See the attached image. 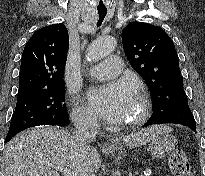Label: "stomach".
<instances>
[{
    "mask_svg": "<svg viewBox=\"0 0 205 176\" xmlns=\"http://www.w3.org/2000/svg\"><path fill=\"white\" fill-rule=\"evenodd\" d=\"M165 126H160L155 134L148 142L151 153L155 158H163L168 155L176 145V139L173 135L169 134L168 130H164Z\"/></svg>",
    "mask_w": 205,
    "mask_h": 176,
    "instance_id": "0dacf381",
    "label": "stomach"
}]
</instances>
